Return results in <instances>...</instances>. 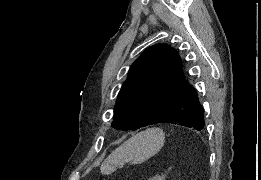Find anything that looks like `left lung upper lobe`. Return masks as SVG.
Returning <instances> with one entry per match:
<instances>
[{"label": "left lung upper lobe", "mask_w": 261, "mask_h": 180, "mask_svg": "<svg viewBox=\"0 0 261 180\" xmlns=\"http://www.w3.org/2000/svg\"><path fill=\"white\" fill-rule=\"evenodd\" d=\"M186 84L175 49L164 44L147 48L130 67L116 101L112 125L121 130L151 125Z\"/></svg>", "instance_id": "left-lung-upper-lobe-1"}]
</instances>
